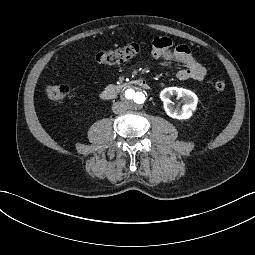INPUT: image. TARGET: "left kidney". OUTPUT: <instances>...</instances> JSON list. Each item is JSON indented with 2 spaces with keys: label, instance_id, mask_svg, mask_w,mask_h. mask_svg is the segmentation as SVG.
<instances>
[{
  "label": "left kidney",
  "instance_id": "left-kidney-1",
  "mask_svg": "<svg viewBox=\"0 0 255 255\" xmlns=\"http://www.w3.org/2000/svg\"><path fill=\"white\" fill-rule=\"evenodd\" d=\"M177 96L178 99L184 101L181 111H176L171 107L172 101L171 96ZM160 99L163 102V107L166 114L178 120H187L192 117L193 113L197 109L198 97L195 93L188 89L178 88V87H169L165 88L160 92Z\"/></svg>",
  "mask_w": 255,
  "mask_h": 255
}]
</instances>
